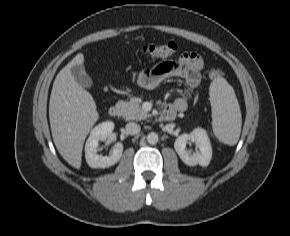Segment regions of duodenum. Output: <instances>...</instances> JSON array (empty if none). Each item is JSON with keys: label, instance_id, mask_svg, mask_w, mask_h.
<instances>
[{"label": "duodenum", "instance_id": "410a0bca", "mask_svg": "<svg viewBox=\"0 0 290 236\" xmlns=\"http://www.w3.org/2000/svg\"><path fill=\"white\" fill-rule=\"evenodd\" d=\"M177 112L178 111L176 109L171 108L164 109L161 114V119L165 121L173 120L176 117ZM108 114L110 117L117 118L121 116L122 108L119 105H112L108 110Z\"/></svg>", "mask_w": 290, "mask_h": 236}]
</instances>
